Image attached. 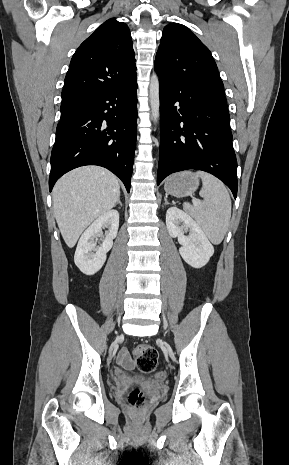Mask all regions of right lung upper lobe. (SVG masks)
<instances>
[{
    "label": "right lung upper lobe",
    "mask_w": 289,
    "mask_h": 465,
    "mask_svg": "<svg viewBox=\"0 0 289 465\" xmlns=\"http://www.w3.org/2000/svg\"><path fill=\"white\" fill-rule=\"evenodd\" d=\"M135 76V53L129 28L111 18L73 55L64 81L61 106L81 103L120 88Z\"/></svg>",
    "instance_id": "cb5924a9"
}]
</instances>
